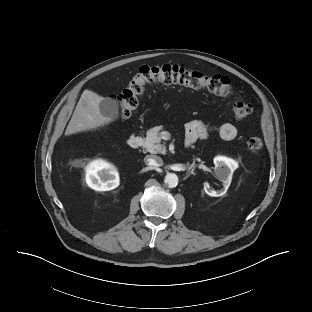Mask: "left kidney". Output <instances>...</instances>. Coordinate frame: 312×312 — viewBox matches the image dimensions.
<instances>
[{
  "label": "left kidney",
  "mask_w": 312,
  "mask_h": 312,
  "mask_svg": "<svg viewBox=\"0 0 312 312\" xmlns=\"http://www.w3.org/2000/svg\"><path fill=\"white\" fill-rule=\"evenodd\" d=\"M214 164L215 175L223 183L224 189L215 191L210 188L208 183H205L204 190L209 196L220 197L226 193L230 186L233 172L238 168V163L225 156H216L214 158Z\"/></svg>",
  "instance_id": "1"
}]
</instances>
